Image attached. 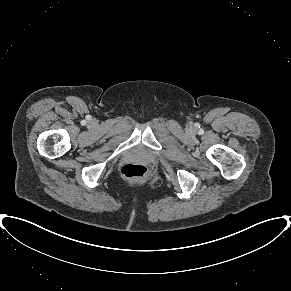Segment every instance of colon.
Returning a JSON list of instances; mask_svg holds the SVG:
<instances>
[{
	"label": "colon",
	"instance_id": "obj_1",
	"mask_svg": "<svg viewBox=\"0 0 291 291\" xmlns=\"http://www.w3.org/2000/svg\"><path fill=\"white\" fill-rule=\"evenodd\" d=\"M125 177L132 180H142L147 176V168L139 164H126L122 168Z\"/></svg>",
	"mask_w": 291,
	"mask_h": 291
}]
</instances>
